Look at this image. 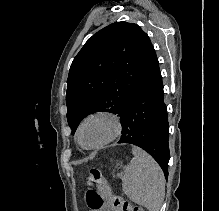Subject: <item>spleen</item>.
Masks as SVG:
<instances>
[{"mask_svg": "<svg viewBox=\"0 0 219 211\" xmlns=\"http://www.w3.org/2000/svg\"><path fill=\"white\" fill-rule=\"evenodd\" d=\"M133 159L124 169L123 191L149 211H159L165 195L163 171L152 155L133 145Z\"/></svg>", "mask_w": 219, "mask_h": 211, "instance_id": "obj_1", "label": "spleen"}]
</instances>
